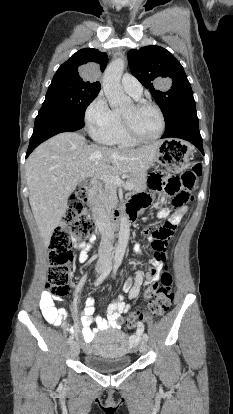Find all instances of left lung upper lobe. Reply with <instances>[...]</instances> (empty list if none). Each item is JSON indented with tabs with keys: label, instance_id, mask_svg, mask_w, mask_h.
<instances>
[{
	"label": "left lung upper lobe",
	"instance_id": "5c2ea615",
	"mask_svg": "<svg viewBox=\"0 0 233 414\" xmlns=\"http://www.w3.org/2000/svg\"><path fill=\"white\" fill-rule=\"evenodd\" d=\"M131 73L148 88L161 108L165 121L185 102L194 101L183 67L166 49L146 46L128 52ZM168 82V88H160Z\"/></svg>",
	"mask_w": 233,
	"mask_h": 414
}]
</instances>
